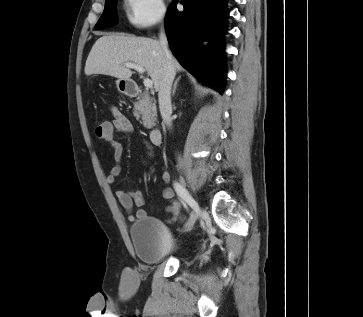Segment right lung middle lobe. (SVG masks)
I'll use <instances>...</instances> for the list:
<instances>
[{
    "label": "right lung middle lobe",
    "instance_id": "right-lung-middle-lobe-1",
    "mask_svg": "<svg viewBox=\"0 0 363 317\" xmlns=\"http://www.w3.org/2000/svg\"><path fill=\"white\" fill-rule=\"evenodd\" d=\"M116 0H106L102 16L95 25V29H104L116 24Z\"/></svg>",
    "mask_w": 363,
    "mask_h": 317
}]
</instances>
